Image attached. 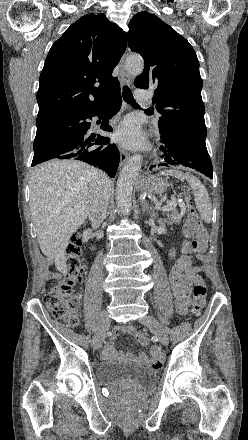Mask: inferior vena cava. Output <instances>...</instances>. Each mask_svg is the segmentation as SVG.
Returning a JSON list of instances; mask_svg holds the SVG:
<instances>
[{"instance_id":"1","label":"inferior vena cava","mask_w":248,"mask_h":440,"mask_svg":"<svg viewBox=\"0 0 248 440\" xmlns=\"http://www.w3.org/2000/svg\"><path fill=\"white\" fill-rule=\"evenodd\" d=\"M109 197V178L103 172H96L88 208V217L93 228L99 227L106 218Z\"/></svg>"}]
</instances>
